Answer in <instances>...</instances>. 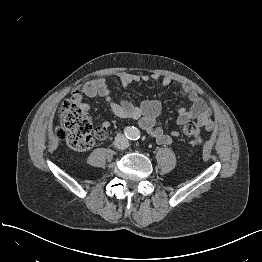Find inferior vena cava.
Instances as JSON below:
<instances>
[{"instance_id": "obj_1", "label": "inferior vena cava", "mask_w": 262, "mask_h": 262, "mask_svg": "<svg viewBox=\"0 0 262 262\" xmlns=\"http://www.w3.org/2000/svg\"><path fill=\"white\" fill-rule=\"evenodd\" d=\"M114 143H115V146L121 150H124L128 148L129 146V140L127 139V137L124 134H118L115 137Z\"/></svg>"}]
</instances>
